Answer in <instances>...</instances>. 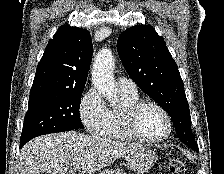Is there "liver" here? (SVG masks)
Wrapping results in <instances>:
<instances>
[{
    "instance_id": "1",
    "label": "liver",
    "mask_w": 224,
    "mask_h": 174,
    "mask_svg": "<svg viewBox=\"0 0 224 174\" xmlns=\"http://www.w3.org/2000/svg\"><path fill=\"white\" fill-rule=\"evenodd\" d=\"M140 146L75 132L39 136L21 149L19 172L91 174Z\"/></svg>"
}]
</instances>
